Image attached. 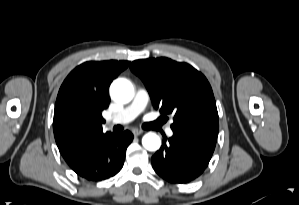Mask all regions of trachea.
I'll use <instances>...</instances> for the list:
<instances>
[{
	"label": "trachea",
	"instance_id": "trachea-1",
	"mask_svg": "<svg viewBox=\"0 0 299 205\" xmlns=\"http://www.w3.org/2000/svg\"><path fill=\"white\" fill-rule=\"evenodd\" d=\"M122 130H123V128H122V126H120V125L114 127V131H115L116 133H120V132H122Z\"/></svg>",
	"mask_w": 299,
	"mask_h": 205
}]
</instances>
